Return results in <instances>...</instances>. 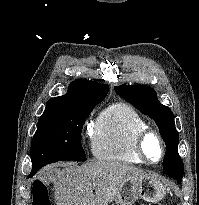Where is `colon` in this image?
Returning a JSON list of instances; mask_svg holds the SVG:
<instances>
[{
  "mask_svg": "<svg viewBox=\"0 0 199 205\" xmlns=\"http://www.w3.org/2000/svg\"><path fill=\"white\" fill-rule=\"evenodd\" d=\"M33 205H51L46 186L41 184L35 185Z\"/></svg>",
  "mask_w": 199,
  "mask_h": 205,
  "instance_id": "obj_1",
  "label": "colon"
}]
</instances>
